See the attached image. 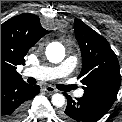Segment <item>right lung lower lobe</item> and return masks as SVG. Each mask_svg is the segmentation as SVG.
<instances>
[{"instance_id": "right-lung-lower-lobe-1", "label": "right lung lower lobe", "mask_w": 122, "mask_h": 122, "mask_svg": "<svg viewBox=\"0 0 122 122\" xmlns=\"http://www.w3.org/2000/svg\"><path fill=\"white\" fill-rule=\"evenodd\" d=\"M40 91L23 80L1 81V122H17L25 115L27 101Z\"/></svg>"}]
</instances>
